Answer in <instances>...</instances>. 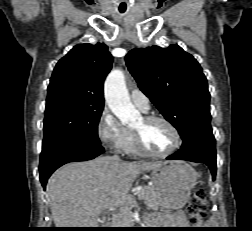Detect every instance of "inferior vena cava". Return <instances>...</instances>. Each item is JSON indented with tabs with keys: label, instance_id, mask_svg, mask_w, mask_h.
<instances>
[{
	"label": "inferior vena cava",
	"instance_id": "602c4592",
	"mask_svg": "<svg viewBox=\"0 0 252 231\" xmlns=\"http://www.w3.org/2000/svg\"><path fill=\"white\" fill-rule=\"evenodd\" d=\"M108 159L112 160L113 162H120V158L118 155H113L111 157H108Z\"/></svg>",
	"mask_w": 252,
	"mask_h": 231
}]
</instances>
